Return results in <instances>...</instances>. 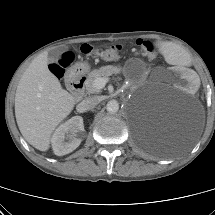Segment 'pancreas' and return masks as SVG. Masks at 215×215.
Masks as SVG:
<instances>
[{
    "instance_id": "obj_1",
    "label": "pancreas",
    "mask_w": 215,
    "mask_h": 215,
    "mask_svg": "<svg viewBox=\"0 0 215 215\" xmlns=\"http://www.w3.org/2000/svg\"><path fill=\"white\" fill-rule=\"evenodd\" d=\"M121 68L119 66L107 65L103 66L99 69H94L91 71L86 79V90L88 93H96L99 92V89L94 87L95 79L99 77L110 76L112 74H119Z\"/></svg>"
}]
</instances>
